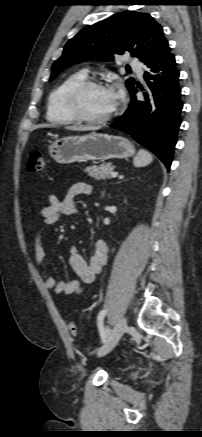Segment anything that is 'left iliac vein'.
I'll return each instance as SVG.
<instances>
[{"mask_svg":"<svg viewBox=\"0 0 202 437\" xmlns=\"http://www.w3.org/2000/svg\"><path fill=\"white\" fill-rule=\"evenodd\" d=\"M126 329L127 320L126 318H122L109 333L105 344L98 351V356H104L109 353L117 345Z\"/></svg>","mask_w":202,"mask_h":437,"instance_id":"left-iliac-vein-1","label":"left iliac vein"}]
</instances>
